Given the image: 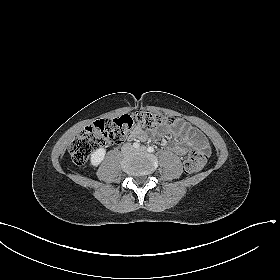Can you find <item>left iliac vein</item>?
<instances>
[{
    "label": "left iliac vein",
    "instance_id": "left-iliac-vein-1",
    "mask_svg": "<svg viewBox=\"0 0 280 280\" xmlns=\"http://www.w3.org/2000/svg\"><path fill=\"white\" fill-rule=\"evenodd\" d=\"M136 151H139V152H145L146 151V147L142 146L140 147L138 150Z\"/></svg>",
    "mask_w": 280,
    "mask_h": 280
}]
</instances>
